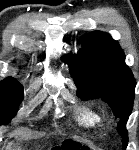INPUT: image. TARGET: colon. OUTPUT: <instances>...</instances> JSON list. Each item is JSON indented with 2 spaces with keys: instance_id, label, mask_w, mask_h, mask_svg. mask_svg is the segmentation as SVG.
<instances>
[{
  "instance_id": "obj_1",
  "label": "colon",
  "mask_w": 139,
  "mask_h": 150,
  "mask_svg": "<svg viewBox=\"0 0 139 150\" xmlns=\"http://www.w3.org/2000/svg\"><path fill=\"white\" fill-rule=\"evenodd\" d=\"M52 150H87L83 147H78L74 142L72 141H66L61 146H58Z\"/></svg>"
}]
</instances>
